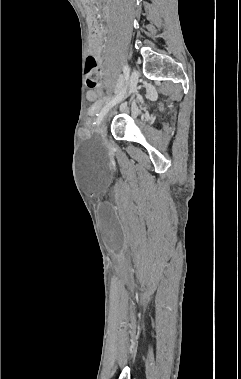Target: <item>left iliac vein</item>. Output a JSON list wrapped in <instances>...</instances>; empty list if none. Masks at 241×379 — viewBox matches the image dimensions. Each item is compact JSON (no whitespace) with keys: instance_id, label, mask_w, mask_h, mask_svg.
Here are the masks:
<instances>
[{"instance_id":"1","label":"left iliac vein","mask_w":241,"mask_h":379,"mask_svg":"<svg viewBox=\"0 0 241 379\" xmlns=\"http://www.w3.org/2000/svg\"><path fill=\"white\" fill-rule=\"evenodd\" d=\"M138 72L136 70H133L130 76V79L128 81V90L124 93V95L121 97V99L118 102H121L125 100L134 90L136 89L137 83H138ZM100 134L105 144H107L106 140V132L104 126L100 128Z\"/></svg>"}]
</instances>
